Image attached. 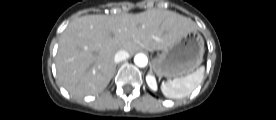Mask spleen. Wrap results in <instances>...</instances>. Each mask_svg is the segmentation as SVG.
<instances>
[{"label": "spleen", "mask_w": 276, "mask_h": 120, "mask_svg": "<svg viewBox=\"0 0 276 120\" xmlns=\"http://www.w3.org/2000/svg\"><path fill=\"white\" fill-rule=\"evenodd\" d=\"M204 71L205 67L201 66L192 74L167 81L161 85V91L168 98L186 97L202 82Z\"/></svg>", "instance_id": "obj_1"}]
</instances>
